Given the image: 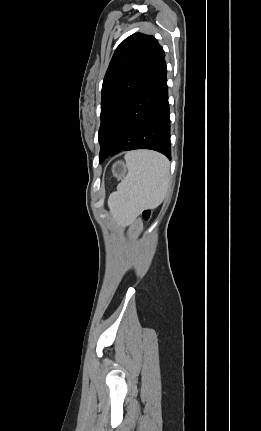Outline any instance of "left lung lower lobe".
<instances>
[{"mask_svg": "<svg viewBox=\"0 0 261 431\" xmlns=\"http://www.w3.org/2000/svg\"><path fill=\"white\" fill-rule=\"evenodd\" d=\"M167 68L163 58L131 101L108 155L151 149L171 159Z\"/></svg>", "mask_w": 261, "mask_h": 431, "instance_id": "1", "label": "left lung lower lobe"}]
</instances>
